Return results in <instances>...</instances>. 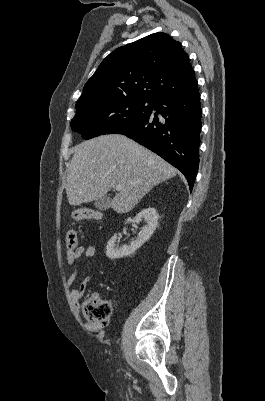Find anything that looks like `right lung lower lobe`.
<instances>
[{"label":"right lung lower lobe","instance_id":"right-lung-lower-lobe-1","mask_svg":"<svg viewBox=\"0 0 265 401\" xmlns=\"http://www.w3.org/2000/svg\"><path fill=\"white\" fill-rule=\"evenodd\" d=\"M142 120L116 130L155 152L186 177L192 191L199 167L201 106L198 84L156 101Z\"/></svg>","mask_w":265,"mask_h":401}]
</instances>
